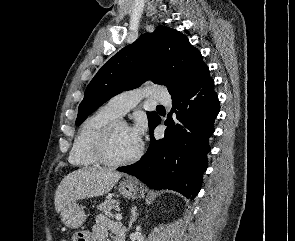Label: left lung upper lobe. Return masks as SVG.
I'll return each mask as SVG.
<instances>
[{
	"label": "left lung upper lobe",
	"instance_id": "1",
	"mask_svg": "<svg viewBox=\"0 0 295 241\" xmlns=\"http://www.w3.org/2000/svg\"><path fill=\"white\" fill-rule=\"evenodd\" d=\"M206 74L208 66L188 38L175 29L159 26L121 49L101 67L86 88L75 124L80 125L111 97L137 88L146 80L165 85L172 96ZM147 116L150 130L159 115L147 112Z\"/></svg>",
	"mask_w": 295,
	"mask_h": 241
}]
</instances>
